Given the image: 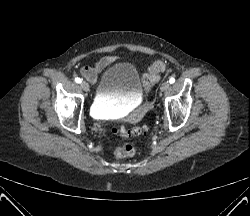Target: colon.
I'll use <instances>...</instances> for the list:
<instances>
[{"label":"colon","instance_id":"colon-1","mask_svg":"<svg viewBox=\"0 0 250 216\" xmlns=\"http://www.w3.org/2000/svg\"><path fill=\"white\" fill-rule=\"evenodd\" d=\"M166 69V63L162 60L154 61L148 69V72L142 78V86L146 93L160 80V74ZM114 132L123 138H130L146 134L147 128L141 127H125L118 126L114 128ZM136 153V146L132 142H127L124 145L117 147L114 150V155L117 158H125L134 156Z\"/></svg>","mask_w":250,"mask_h":216}]
</instances>
